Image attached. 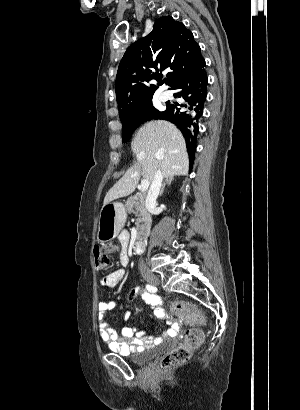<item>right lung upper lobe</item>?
Segmentation results:
<instances>
[{
    "label": "right lung upper lobe",
    "mask_w": 300,
    "mask_h": 410,
    "mask_svg": "<svg viewBox=\"0 0 300 410\" xmlns=\"http://www.w3.org/2000/svg\"><path fill=\"white\" fill-rule=\"evenodd\" d=\"M201 49L183 23L171 16L159 18L152 32L132 44L120 61L116 76V98L122 122L136 117L152 99L162 71L168 70L167 84L175 81L200 58ZM190 152V150H188ZM195 151L190 153V158Z\"/></svg>",
    "instance_id": "obj_1"
}]
</instances>
